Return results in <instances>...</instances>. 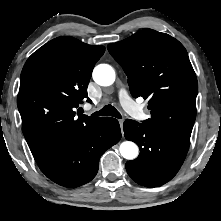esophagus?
Wrapping results in <instances>:
<instances>
[{
  "label": "esophagus",
  "instance_id": "esophagus-1",
  "mask_svg": "<svg viewBox=\"0 0 221 221\" xmlns=\"http://www.w3.org/2000/svg\"><path fill=\"white\" fill-rule=\"evenodd\" d=\"M118 121H119V124H120L121 129H122V127H123V123H124V120H123V119H119Z\"/></svg>",
  "mask_w": 221,
  "mask_h": 221
}]
</instances>
